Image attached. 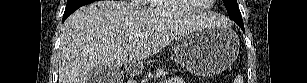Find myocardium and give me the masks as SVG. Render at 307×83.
Returning a JSON list of instances; mask_svg holds the SVG:
<instances>
[{
  "label": "myocardium",
  "mask_w": 307,
  "mask_h": 83,
  "mask_svg": "<svg viewBox=\"0 0 307 83\" xmlns=\"http://www.w3.org/2000/svg\"><path fill=\"white\" fill-rule=\"evenodd\" d=\"M170 3L176 8V10H178V12L186 13V14L199 13L206 9L205 5H198L190 10H183L179 5L178 0H171Z\"/></svg>",
  "instance_id": "f54148a6"
}]
</instances>
